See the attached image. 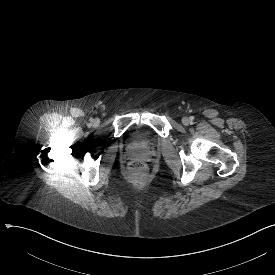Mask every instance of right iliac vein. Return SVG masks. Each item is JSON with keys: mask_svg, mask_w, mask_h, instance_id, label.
Instances as JSON below:
<instances>
[{"mask_svg": "<svg viewBox=\"0 0 275 275\" xmlns=\"http://www.w3.org/2000/svg\"><path fill=\"white\" fill-rule=\"evenodd\" d=\"M94 125H95V126H98V125H99V121H98V120H95Z\"/></svg>", "mask_w": 275, "mask_h": 275, "instance_id": "1", "label": "right iliac vein"}]
</instances>
